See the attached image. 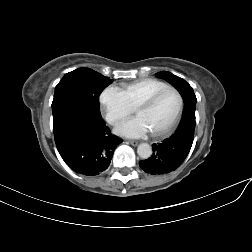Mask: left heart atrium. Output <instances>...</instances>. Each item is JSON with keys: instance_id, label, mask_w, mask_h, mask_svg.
<instances>
[{"instance_id": "obj_1", "label": "left heart atrium", "mask_w": 252, "mask_h": 252, "mask_svg": "<svg viewBox=\"0 0 252 252\" xmlns=\"http://www.w3.org/2000/svg\"><path fill=\"white\" fill-rule=\"evenodd\" d=\"M117 132L126 137H141L148 132L147 126L140 117L129 119L122 123Z\"/></svg>"}]
</instances>
